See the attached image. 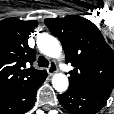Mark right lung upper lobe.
<instances>
[{
    "mask_svg": "<svg viewBox=\"0 0 114 114\" xmlns=\"http://www.w3.org/2000/svg\"><path fill=\"white\" fill-rule=\"evenodd\" d=\"M37 24L35 20L17 18L0 21V97L47 73L32 66L26 68L35 61V52L28 46V38Z\"/></svg>",
    "mask_w": 114,
    "mask_h": 114,
    "instance_id": "1",
    "label": "right lung upper lobe"
}]
</instances>
